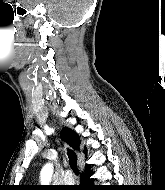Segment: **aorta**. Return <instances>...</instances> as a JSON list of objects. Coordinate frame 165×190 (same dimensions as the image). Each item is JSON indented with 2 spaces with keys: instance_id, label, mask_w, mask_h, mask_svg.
Returning <instances> with one entry per match:
<instances>
[{
  "instance_id": "762f6f07",
  "label": "aorta",
  "mask_w": 165,
  "mask_h": 190,
  "mask_svg": "<svg viewBox=\"0 0 165 190\" xmlns=\"http://www.w3.org/2000/svg\"><path fill=\"white\" fill-rule=\"evenodd\" d=\"M53 167L51 164H47L42 171V180L44 183H49L51 180Z\"/></svg>"
}]
</instances>
